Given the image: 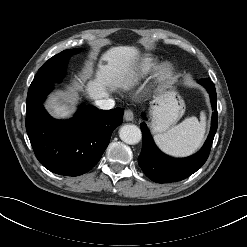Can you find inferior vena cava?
Returning <instances> with one entry per match:
<instances>
[{"label":"inferior vena cava","instance_id":"inferior-vena-cava-1","mask_svg":"<svg viewBox=\"0 0 247 247\" xmlns=\"http://www.w3.org/2000/svg\"><path fill=\"white\" fill-rule=\"evenodd\" d=\"M96 105L103 110H109L114 107L115 101L113 99H100L96 101Z\"/></svg>","mask_w":247,"mask_h":247}]
</instances>
